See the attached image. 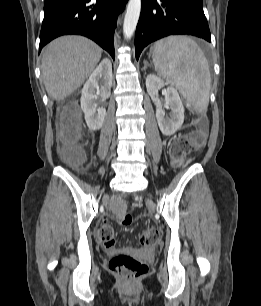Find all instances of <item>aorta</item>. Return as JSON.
<instances>
[{
    "label": "aorta",
    "mask_w": 261,
    "mask_h": 306,
    "mask_svg": "<svg viewBox=\"0 0 261 306\" xmlns=\"http://www.w3.org/2000/svg\"><path fill=\"white\" fill-rule=\"evenodd\" d=\"M140 11L141 0H129L123 23L125 38L130 39L133 36L139 20Z\"/></svg>",
    "instance_id": "762f6f07"
}]
</instances>
